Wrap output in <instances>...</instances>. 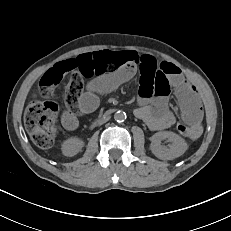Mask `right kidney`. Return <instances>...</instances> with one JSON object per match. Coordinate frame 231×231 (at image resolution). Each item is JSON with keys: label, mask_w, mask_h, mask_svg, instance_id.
Instances as JSON below:
<instances>
[{"label": "right kidney", "mask_w": 231, "mask_h": 231, "mask_svg": "<svg viewBox=\"0 0 231 231\" xmlns=\"http://www.w3.org/2000/svg\"><path fill=\"white\" fill-rule=\"evenodd\" d=\"M84 143L80 138L71 137L62 144V152L65 156L72 157L76 155L83 147Z\"/></svg>", "instance_id": "1"}]
</instances>
